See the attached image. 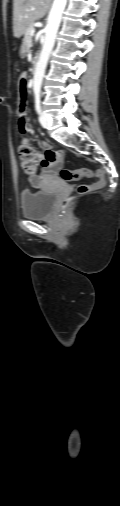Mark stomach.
<instances>
[{"label":"stomach","mask_w":120,"mask_h":506,"mask_svg":"<svg viewBox=\"0 0 120 506\" xmlns=\"http://www.w3.org/2000/svg\"><path fill=\"white\" fill-rule=\"evenodd\" d=\"M25 54H26V48L24 46H22L21 51H20V55L23 57Z\"/></svg>","instance_id":"obj_1"}]
</instances>
